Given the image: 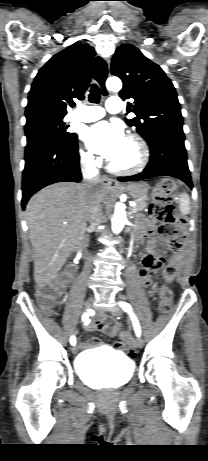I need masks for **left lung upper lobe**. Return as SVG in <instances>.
I'll return each mask as SVG.
<instances>
[{
	"mask_svg": "<svg viewBox=\"0 0 208 461\" xmlns=\"http://www.w3.org/2000/svg\"><path fill=\"white\" fill-rule=\"evenodd\" d=\"M111 73L124 83L120 97L134 99L127 103V113L134 112L136 117L127 120V124L135 127L148 144L163 133H183L175 88L159 65L135 46L122 44L112 58Z\"/></svg>",
	"mask_w": 208,
	"mask_h": 461,
	"instance_id": "left-lung-upper-lobe-1",
	"label": "left lung upper lobe"
}]
</instances>
